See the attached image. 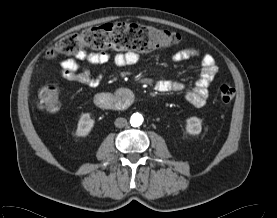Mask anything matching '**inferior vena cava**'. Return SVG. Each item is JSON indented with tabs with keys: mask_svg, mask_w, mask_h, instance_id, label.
Returning a JSON list of instances; mask_svg holds the SVG:
<instances>
[{
	"mask_svg": "<svg viewBox=\"0 0 277 218\" xmlns=\"http://www.w3.org/2000/svg\"><path fill=\"white\" fill-rule=\"evenodd\" d=\"M114 124L118 128H123L127 125V120L125 118L119 117L115 120Z\"/></svg>",
	"mask_w": 277,
	"mask_h": 218,
	"instance_id": "obj_1",
	"label": "inferior vena cava"
}]
</instances>
